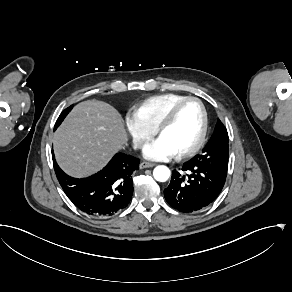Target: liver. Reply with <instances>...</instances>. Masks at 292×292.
I'll use <instances>...</instances> for the list:
<instances>
[{
	"label": "liver",
	"mask_w": 292,
	"mask_h": 292,
	"mask_svg": "<svg viewBox=\"0 0 292 292\" xmlns=\"http://www.w3.org/2000/svg\"><path fill=\"white\" fill-rule=\"evenodd\" d=\"M127 140L120 113L98 100L74 106L53 134L58 164L65 173L76 178L101 170Z\"/></svg>",
	"instance_id": "obj_1"
}]
</instances>
